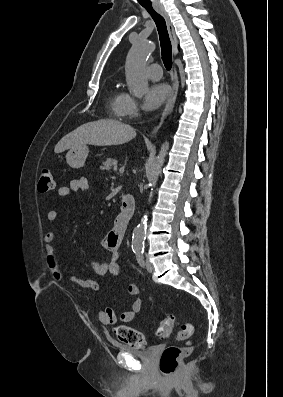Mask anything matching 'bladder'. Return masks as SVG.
<instances>
[{
  "mask_svg": "<svg viewBox=\"0 0 283 397\" xmlns=\"http://www.w3.org/2000/svg\"><path fill=\"white\" fill-rule=\"evenodd\" d=\"M118 349L130 353L136 357H139L142 360L150 361L154 359V357L157 354L158 351V346L157 345H152L146 348H136L132 347L129 345H124V344H117L116 345Z\"/></svg>",
  "mask_w": 283,
  "mask_h": 397,
  "instance_id": "bladder-1",
  "label": "bladder"
}]
</instances>
